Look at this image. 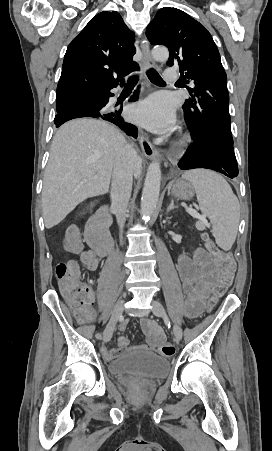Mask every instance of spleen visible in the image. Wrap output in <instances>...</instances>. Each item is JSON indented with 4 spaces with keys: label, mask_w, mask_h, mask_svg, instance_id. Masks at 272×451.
Returning <instances> with one entry per match:
<instances>
[{
    "label": "spleen",
    "mask_w": 272,
    "mask_h": 451,
    "mask_svg": "<svg viewBox=\"0 0 272 451\" xmlns=\"http://www.w3.org/2000/svg\"><path fill=\"white\" fill-rule=\"evenodd\" d=\"M182 178L192 182L200 210L210 218L217 245L229 251L238 231L240 204L228 182L211 170H189Z\"/></svg>",
    "instance_id": "obj_1"
}]
</instances>
